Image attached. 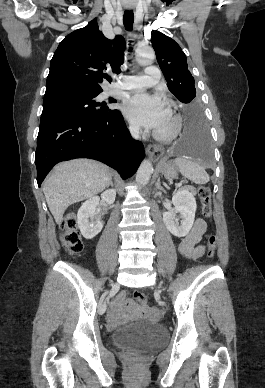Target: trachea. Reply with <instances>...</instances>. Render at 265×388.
Listing matches in <instances>:
<instances>
[{
	"instance_id": "1",
	"label": "trachea",
	"mask_w": 265,
	"mask_h": 388,
	"mask_svg": "<svg viewBox=\"0 0 265 388\" xmlns=\"http://www.w3.org/2000/svg\"><path fill=\"white\" fill-rule=\"evenodd\" d=\"M123 22L126 30H132L133 22H134V14L132 10H125L123 16Z\"/></svg>"
}]
</instances>
